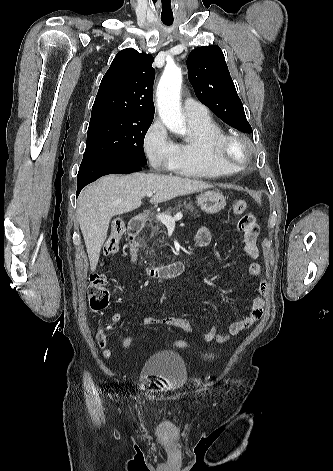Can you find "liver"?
<instances>
[{
    "label": "liver",
    "mask_w": 333,
    "mask_h": 471,
    "mask_svg": "<svg viewBox=\"0 0 333 471\" xmlns=\"http://www.w3.org/2000/svg\"><path fill=\"white\" fill-rule=\"evenodd\" d=\"M212 187L198 180L153 173L108 175L86 187L78 197V218L91 271L98 264L111 218L139 208L147 192L155 193L151 203H161Z\"/></svg>",
    "instance_id": "6515ba94"
}]
</instances>
